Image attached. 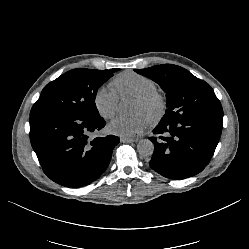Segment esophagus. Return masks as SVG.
<instances>
[{
  "instance_id": "34e87169",
  "label": "esophagus",
  "mask_w": 249,
  "mask_h": 249,
  "mask_svg": "<svg viewBox=\"0 0 249 249\" xmlns=\"http://www.w3.org/2000/svg\"><path fill=\"white\" fill-rule=\"evenodd\" d=\"M120 140L122 143H132L135 141L133 138H129V137H121Z\"/></svg>"
}]
</instances>
